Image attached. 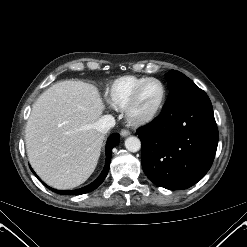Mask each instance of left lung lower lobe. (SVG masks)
Segmentation results:
<instances>
[{"mask_svg": "<svg viewBox=\"0 0 247 247\" xmlns=\"http://www.w3.org/2000/svg\"><path fill=\"white\" fill-rule=\"evenodd\" d=\"M137 133L145 174L169 190L186 189L202 179L218 144L212 104L199 87L171 95L158 117Z\"/></svg>", "mask_w": 247, "mask_h": 247, "instance_id": "1", "label": "left lung lower lobe"}]
</instances>
